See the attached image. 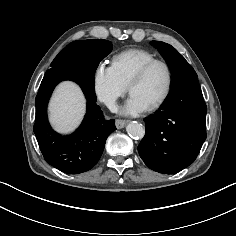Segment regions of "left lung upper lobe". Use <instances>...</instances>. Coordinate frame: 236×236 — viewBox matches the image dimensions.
<instances>
[{"label":"left lung upper lobe","mask_w":236,"mask_h":236,"mask_svg":"<svg viewBox=\"0 0 236 236\" xmlns=\"http://www.w3.org/2000/svg\"><path fill=\"white\" fill-rule=\"evenodd\" d=\"M152 44L160 51L170 68L172 76L171 87L185 79L197 77L194 69L174 47L160 41H152Z\"/></svg>","instance_id":"1"}]
</instances>
